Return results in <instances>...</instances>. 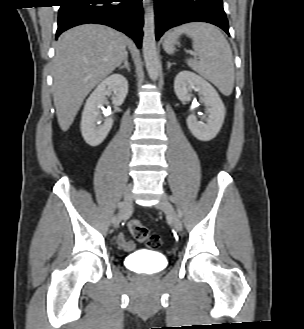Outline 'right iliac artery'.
<instances>
[{
	"instance_id": "obj_1",
	"label": "right iliac artery",
	"mask_w": 304,
	"mask_h": 329,
	"mask_svg": "<svg viewBox=\"0 0 304 329\" xmlns=\"http://www.w3.org/2000/svg\"><path fill=\"white\" fill-rule=\"evenodd\" d=\"M122 206H123V202H120V203L118 204V209L121 210ZM116 218H117V216L114 215V216L111 218V222L114 223L115 220H116Z\"/></svg>"
}]
</instances>
